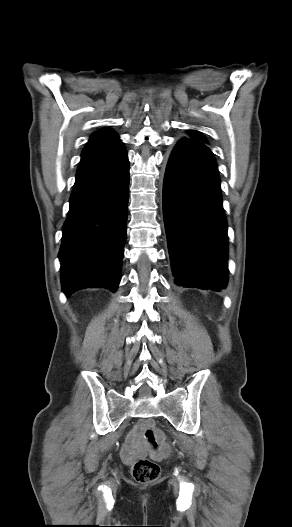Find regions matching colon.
Returning a JSON list of instances; mask_svg holds the SVG:
<instances>
[{
	"instance_id": "5ec220e1",
	"label": "colon",
	"mask_w": 292,
	"mask_h": 527,
	"mask_svg": "<svg viewBox=\"0 0 292 527\" xmlns=\"http://www.w3.org/2000/svg\"><path fill=\"white\" fill-rule=\"evenodd\" d=\"M139 426L149 447L155 449L160 435L154 423L146 421ZM132 476L139 483H151L160 477V467L147 458H138L132 466Z\"/></svg>"
}]
</instances>
